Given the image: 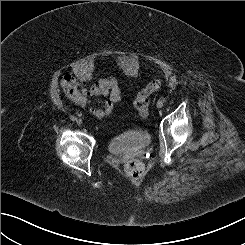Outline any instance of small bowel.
<instances>
[{
    "label": "small bowel",
    "instance_id": "obj_1",
    "mask_svg": "<svg viewBox=\"0 0 245 245\" xmlns=\"http://www.w3.org/2000/svg\"><path fill=\"white\" fill-rule=\"evenodd\" d=\"M65 95L80 108L90 111L97 120L110 115L122 100L118 80L111 75L89 89L83 88L78 77L66 74L61 80ZM99 97L107 100L100 101Z\"/></svg>",
    "mask_w": 245,
    "mask_h": 245
}]
</instances>
